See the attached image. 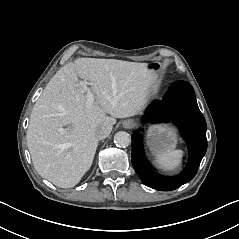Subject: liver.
<instances>
[{"label": "liver", "mask_w": 239, "mask_h": 239, "mask_svg": "<svg viewBox=\"0 0 239 239\" xmlns=\"http://www.w3.org/2000/svg\"><path fill=\"white\" fill-rule=\"evenodd\" d=\"M147 66L79 58L51 78L33 107L27 130L28 149L41 177L61 188L74 187L81 180L95 156L96 130L104 123L114 125L116 118L139 114L150 89L159 86L158 73ZM78 76L91 85L95 95L91 106ZM64 126L68 128L62 134L58 130Z\"/></svg>", "instance_id": "1"}]
</instances>
